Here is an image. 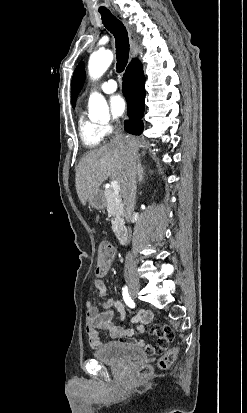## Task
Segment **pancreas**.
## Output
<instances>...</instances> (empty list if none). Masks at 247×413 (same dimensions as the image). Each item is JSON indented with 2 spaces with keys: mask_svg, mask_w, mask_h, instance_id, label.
<instances>
[{
  "mask_svg": "<svg viewBox=\"0 0 247 413\" xmlns=\"http://www.w3.org/2000/svg\"><path fill=\"white\" fill-rule=\"evenodd\" d=\"M103 192L107 200V211H109L110 215H112V231H114V233H118L123 223V219H121V217H124V209L121 202L122 194H115L112 188H105Z\"/></svg>",
  "mask_w": 247,
  "mask_h": 413,
  "instance_id": "1",
  "label": "pancreas"
}]
</instances>
